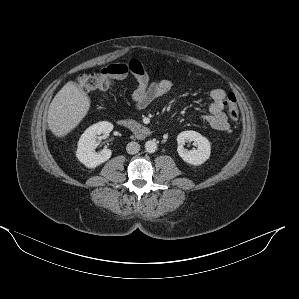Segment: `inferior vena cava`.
<instances>
[{
  "mask_svg": "<svg viewBox=\"0 0 299 299\" xmlns=\"http://www.w3.org/2000/svg\"><path fill=\"white\" fill-rule=\"evenodd\" d=\"M126 150L129 154H136L140 151V145L137 142L131 141L127 144Z\"/></svg>",
  "mask_w": 299,
  "mask_h": 299,
  "instance_id": "inferior-vena-cava-1",
  "label": "inferior vena cava"
}]
</instances>
